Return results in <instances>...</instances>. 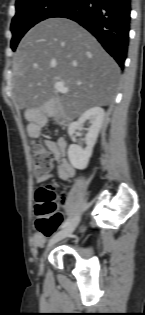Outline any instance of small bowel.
<instances>
[{"label":"small bowel","instance_id":"1","mask_svg":"<svg viewBox=\"0 0 145 315\" xmlns=\"http://www.w3.org/2000/svg\"><path fill=\"white\" fill-rule=\"evenodd\" d=\"M41 118H37L28 124V132L36 137L41 135ZM46 148L51 152L55 161L57 162L56 175L61 180H69L74 175V168L67 158V142L65 139H58L57 141L44 140ZM53 177V174L35 175V182L42 183L47 179ZM64 197L61 199V203H64ZM36 225V224H35ZM45 241V235L43 233H35L32 237V243L39 247Z\"/></svg>","mask_w":145,"mask_h":315}]
</instances>
